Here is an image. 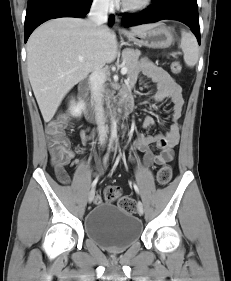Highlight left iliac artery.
<instances>
[{"instance_id":"44dca946","label":"left iliac artery","mask_w":231,"mask_h":281,"mask_svg":"<svg viewBox=\"0 0 231 281\" xmlns=\"http://www.w3.org/2000/svg\"><path fill=\"white\" fill-rule=\"evenodd\" d=\"M133 186H134L135 191L139 194V188H138V186H137L135 183L133 184Z\"/></svg>"}]
</instances>
